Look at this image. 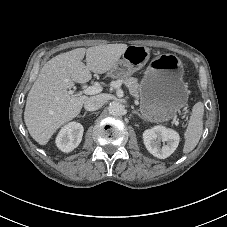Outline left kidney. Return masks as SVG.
<instances>
[{"label":"left kidney","instance_id":"left-kidney-1","mask_svg":"<svg viewBox=\"0 0 227 227\" xmlns=\"http://www.w3.org/2000/svg\"><path fill=\"white\" fill-rule=\"evenodd\" d=\"M180 136L178 132L167 129L164 126H155L145 130L143 141L146 149L155 157L165 159L169 157L178 147ZM161 142L163 144L161 146Z\"/></svg>","mask_w":227,"mask_h":227}]
</instances>
